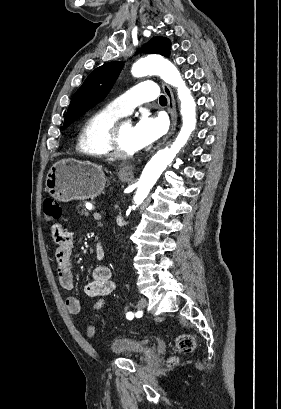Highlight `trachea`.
Masks as SVG:
<instances>
[{
    "mask_svg": "<svg viewBox=\"0 0 281 409\" xmlns=\"http://www.w3.org/2000/svg\"><path fill=\"white\" fill-rule=\"evenodd\" d=\"M159 102H160V104H167V99H166V97H165L164 95H161V96L159 97Z\"/></svg>",
    "mask_w": 281,
    "mask_h": 409,
    "instance_id": "obj_1",
    "label": "trachea"
}]
</instances>
